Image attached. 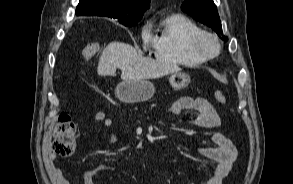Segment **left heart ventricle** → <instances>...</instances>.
<instances>
[{"label":"left heart ventricle","instance_id":"left-heart-ventricle-1","mask_svg":"<svg viewBox=\"0 0 293 184\" xmlns=\"http://www.w3.org/2000/svg\"><path fill=\"white\" fill-rule=\"evenodd\" d=\"M202 45H203V48L209 53H213L216 50V46L214 42L209 39H205Z\"/></svg>","mask_w":293,"mask_h":184}]
</instances>
